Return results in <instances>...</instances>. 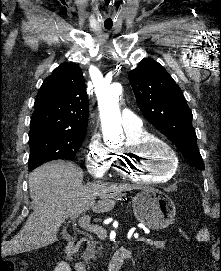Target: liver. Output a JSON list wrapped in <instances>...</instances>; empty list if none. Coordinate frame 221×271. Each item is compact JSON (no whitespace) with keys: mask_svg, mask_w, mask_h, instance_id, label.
<instances>
[{"mask_svg":"<svg viewBox=\"0 0 221 271\" xmlns=\"http://www.w3.org/2000/svg\"><path fill=\"white\" fill-rule=\"evenodd\" d=\"M83 169L67 161H48L29 173L31 203L34 211L30 213L17 235L5 241L4 255H14L31 251L58 241L60 225L69 215H79L87 209L103 211L113 209L114 199L110 191L138 189L128 183L110 181H90L83 183ZM99 195V201H95Z\"/></svg>","mask_w":221,"mask_h":271,"instance_id":"obj_1","label":"liver"}]
</instances>
